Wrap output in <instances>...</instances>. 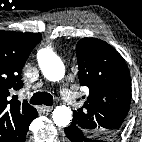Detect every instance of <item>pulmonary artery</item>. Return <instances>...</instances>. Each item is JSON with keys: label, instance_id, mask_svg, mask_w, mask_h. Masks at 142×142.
<instances>
[{"label": "pulmonary artery", "instance_id": "obj_1", "mask_svg": "<svg viewBox=\"0 0 142 142\" xmlns=\"http://www.w3.org/2000/svg\"><path fill=\"white\" fill-rule=\"evenodd\" d=\"M61 98L66 104L75 105L77 102L73 98L71 92L67 88H62L60 91Z\"/></svg>", "mask_w": 142, "mask_h": 142}]
</instances>
